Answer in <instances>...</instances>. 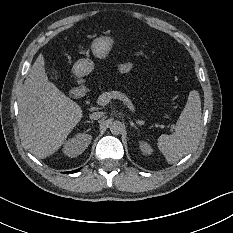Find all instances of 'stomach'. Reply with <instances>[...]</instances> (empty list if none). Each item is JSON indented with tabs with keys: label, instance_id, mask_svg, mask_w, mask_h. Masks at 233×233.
Masks as SVG:
<instances>
[{
	"label": "stomach",
	"instance_id": "obj_1",
	"mask_svg": "<svg viewBox=\"0 0 233 233\" xmlns=\"http://www.w3.org/2000/svg\"><path fill=\"white\" fill-rule=\"evenodd\" d=\"M114 43L112 37L100 35L92 41L91 51L96 58L105 59L109 55ZM94 67L95 63L91 59L82 58L74 63L72 71L77 78L81 79L88 76L94 70Z\"/></svg>",
	"mask_w": 233,
	"mask_h": 233
}]
</instances>
